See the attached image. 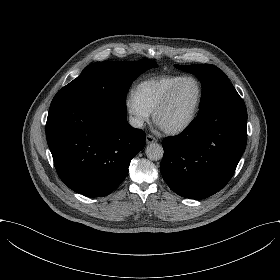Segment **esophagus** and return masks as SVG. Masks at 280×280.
<instances>
[{"label":"esophagus","mask_w":280,"mask_h":280,"mask_svg":"<svg viewBox=\"0 0 280 280\" xmlns=\"http://www.w3.org/2000/svg\"><path fill=\"white\" fill-rule=\"evenodd\" d=\"M155 142H157V139L154 136H152L150 134H148L146 136V143L147 144H151V143H155Z\"/></svg>","instance_id":"esophagus-1"}]
</instances>
